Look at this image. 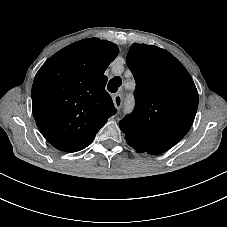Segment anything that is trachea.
I'll return each instance as SVG.
<instances>
[{
    "mask_svg": "<svg viewBox=\"0 0 227 227\" xmlns=\"http://www.w3.org/2000/svg\"><path fill=\"white\" fill-rule=\"evenodd\" d=\"M121 84H122V79L119 76H115L109 81L107 85V89L110 92L115 93L118 91V88L121 86Z\"/></svg>",
    "mask_w": 227,
    "mask_h": 227,
    "instance_id": "1",
    "label": "trachea"
}]
</instances>
